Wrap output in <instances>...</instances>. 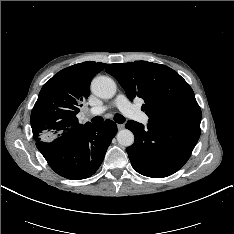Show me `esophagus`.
Returning <instances> with one entry per match:
<instances>
[{
    "instance_id": "34e87169",
    "label": "esophagus",
    "mask_w": 234,
    "mask_h": 234,
    "mask_svg": "<svg viewBox=\"0 0 234 234\" xmlns=\"http://www.w3.org/2000/svg\"><path fill=\"white\" fill-rule=\"evenodd\" d=\"M124 124H117V128H118V130H122V129H124Z\"/></svg>"
}]
</instances>
